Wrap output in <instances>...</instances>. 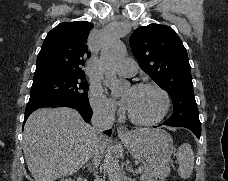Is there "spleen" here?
Returning <instances> with one entry per match:
<instances>
[{
  "instance_id": "3e777b00",
  "label": "spleen",
  "mask_w": 228,
  "mask_h": 181,
  "mask_svg": "<svg viewBox=\"0 0 228 181\" xmlns=\"http://www.w3.org/2000/svg\"><path fill=\"white\" fill-rule=\"evenodd\" d=\"M176 155L179 161L178 173L181 179H189L194 167V153L190 145L183 143V145L179 147Z\"/></svg>"
}]
</instances>
